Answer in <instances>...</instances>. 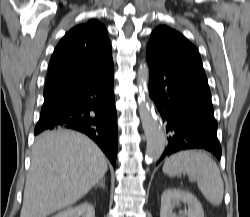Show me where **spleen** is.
<instances>
[{
  "label": "spleen",
  "instance_id": "spleen-1",
  "mask_svg": "<svg viewBox=\"0 0 250 217\" xmlns=\"http://www.w3.org/2000/svg\"><path fill=\"white\" fill-rule=\"evenodd\" d=\"M163 172L171 177L185 173L197 182L206 200L219 206L224 195V183L216 162L205 152L186 150L166 158Z\"/></svg>",
  "mask_w": 250,
  "mask_h": 217
}]
</instances>
